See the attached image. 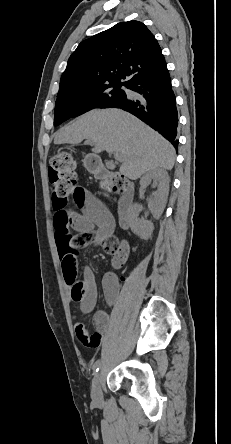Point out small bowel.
Returning <instances> with one entry per match:
<instances>
[{"mask_svg": "<svg viewBox=\"0 0 231 444\" xmlns=\"http://www.w3.org/2000/svg\"><path fill=\"white\" fill-rule=\"evenodd\" d=\"M71 198L79 212H74L69 207L68 199L53 198L55 240L71 299L81 304V313H72L76 335L84 345L98 347L103 333L110 328V316L104 311L96 312L93 317L95 331L89 330L85 324V315L93 310L97 300L94 274L89 268L85 269L86 292L81 298H75L72 289L76 283L77 270L76 267L66 265L65 259L69 255L76 258L78 250L86 247H101L107 254L115 255L120 252L127 256L128 246L113 236L114 220L99 199L79 185ZM73 231H76V234ZM103 291L106 302L114 305L120 293L119 279L115 273L105 274Z\"/></svg>", "mask_w": 231, "mask_h": 444, "instance_id": "1", "label": "small bowel"}]
</instances>
